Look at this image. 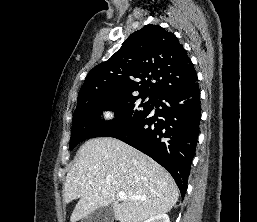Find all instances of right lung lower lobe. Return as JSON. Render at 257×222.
I'll use <instances>...</instances> for the list:
<instances>
[{"mask_svg": "<svg viewBox=\"0 0 257 222\" xmlns=\"http://www.w3.org/2000/svg\"><path fill=\"white\" fill-rule=\"evenodd\" d=\"M198 78L153 98L152 109L112 137L147 154L167 169L184 197L201 119Z\"/></svg>", "mask_w": 257, "mask_h": 222, "instance_id": "1", "label": "right lung lower lobe"}]
</instances>
